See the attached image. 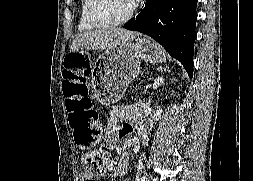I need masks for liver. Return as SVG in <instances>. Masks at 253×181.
Listing matches in <instances>:
<instances>
[{
    "mask_svg": "<svg viewBox=\"0 0 253 181\" xmlns=\"http://www.w3.org/2000/svg\"><path fill=\"white\" fill-rule=\"evenodd\" d=\"M138 35V32L123 28H103L87 31L75 37L70 51L77 52L80 49L105 50L120 43L131 42Z\"/></svg>",
    "mask_w": 253,
    "mask_h": 181,
    "instance_id": "obj_1",
    "label": "liver"
}]
</instances>
